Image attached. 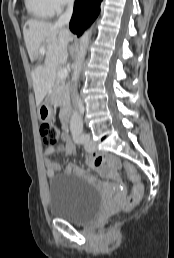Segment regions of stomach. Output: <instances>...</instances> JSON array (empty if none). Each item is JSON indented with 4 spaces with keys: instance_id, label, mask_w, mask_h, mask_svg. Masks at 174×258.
Here are the masks:
<instances>
[{
    "instance_id": "0dacf381",
    "label": "stomach",
    "mask_w": 174,
    "mask_h": 258,
    "mask_svg": "<svg viewBox=\"0 0 174 258\" xmlns=\"http://www.w3.org/2000/svg\"><path fill=\"white\" fill-rule=\"evenodd\" d=\"M39 119L43 122L49 121L53 117L52 94H48L42 104L38 107Z\"/></svg>"
}]
</instances>
